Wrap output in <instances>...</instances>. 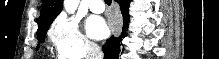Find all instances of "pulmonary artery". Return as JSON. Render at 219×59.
<instances>
[{
	"instance_id": "1",
	"label": "pulmonary artery",
	"mask_w": 219,
	"mask_h": 59,
	"mask_svg": "<svg viewBox=\"0 0 219 59\" xmlns=\"http://www.w3.org/2000/svg\"><path fill=\"white\" fill-rule=\"evenodd\" d=\"M89 8L93 13H102L105 10V6L102 0H91Z\"/></svg>"
}]
</instances>
